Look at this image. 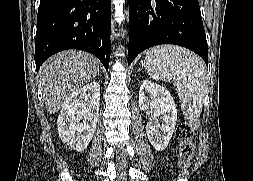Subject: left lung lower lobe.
<instances>
[{
  "label": "left lung lower lobe",
  "instance_id": "obj_1",
  "mask_svg": "<svg viewBox=\"0 0 253 181\" xmlns=\"http://www.w3.org/2000/svg\"><path fill=\"white\" fill-rule=\"evenodd\" d=\"M128 64L146 48L176 44L208 65L206 35L198 0H129Z\"/></svg>",
  "mask_w": 253,
  "mask_h": 181
}]
</instances>
